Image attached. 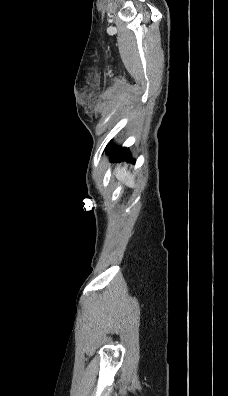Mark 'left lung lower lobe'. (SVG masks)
Listing matches in <instances>:
<instances>
[{
	"mask_svg": "<svg viewBox=\"0 0 228 396\" xmlns=\"http://www.w3.org/2000/svg\"><path fill=\"white\" fill-rule=\"evenodd\" d=\"M107 152L110 153L111 155V161H122V160H129L131 161V155L129 153L128 148H114L112 143L109 142L108 145L106 146Z\"/></svg>",
	"mask_w": 228,
	"mask_h": 396,
	"instance_id": "left-lung-lower-lobe-1",
	"label": "left lung lower lobe"
}]
</instances>
